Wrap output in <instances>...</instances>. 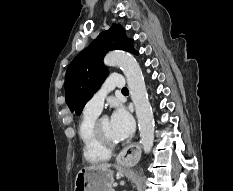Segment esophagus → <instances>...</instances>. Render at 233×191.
Wrapping results in <instances>:
<instances>
[{"label": "esophagus", "mask_w": 233, "mask_h": 191, "mask_svg": "<svg viewBox=\"0 0 233 191\" xmlns=\"http://www.w3.org/2000/svg\"><path fill=\"white\" fill-rule=\"evenodd\" d=\"M140 152L141 150L138 144L132 143L121 150L116 160L117 162H124V164H136V160L138 159Z\"/></svg>", "instance_id": "34e87169"}]
</instances>
